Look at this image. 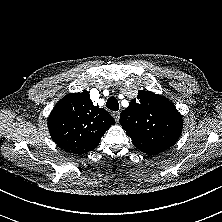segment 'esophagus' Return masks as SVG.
I'll return each instance as SVG.
<instances>
[{
	"label": "esophagus",
	"mask_w": 222,
	"mask_h": 222,
	"mask_svg": "<svg viewBox=\"0 0 222 222\" xmlns=\"http://www.w3.org/2000/svg\"><path fill=\"white\" fill-rule=\"evenodd\" d=\"M113 117L116 120V122H118L119 121V117H120V112L119 111L113 112Z\"/></svg>",
	"instance_id": "obj_1"
}]
</instances>
